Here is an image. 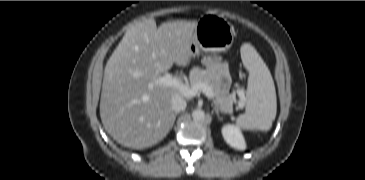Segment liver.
Masks as SVG:
<instances>
[{"label": "liver", "instance_id": "1", "mask_svg": "<svg viewBox=\"0 0 365 180\" xmlns=\"http://www.w3.org/2000/svg\"><path fill=\"white\" fill-rule=\"evenodd\" d=\"M197 21L154 19L132 24L109 58L100 117L105 130L126 147L142 149L164 139L172 126L171 98L181 93L156 81L175 63L189 65Z\"/></svg>", "mask_w": 365, "mask_h": 180}]
</instances>
